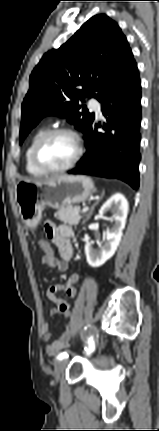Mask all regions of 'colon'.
I'll return each mask as SVG.
<instances>
[{
    "label": "colon",
    "instance_id": "1",
    "mask_svg": "<svg viewBox=\"0 0 159 431\" xmlns=\"http://www.w3.org/2000/svg\"><path fill=\"white\" fill-rule=\"evenodd\" d=\"M39 250L45 254V257L51 258L54 255V249L51 246L50 241L45 236H40ZM65 319H70L71 313L65 310Z\"/></svg>",
    "mask_w": 159,
    "mask_h": 431
}]
</instances>
